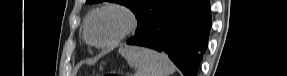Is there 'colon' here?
<instances>
[{"label":"colon","mask_w":287,"mask_h":76,"mask_svg":"<svg viewBox=\"0 0 287 76\" xmlns=\"http://www.w3.org/2000/svg\"><path fill=\"white\" fill-rule=\"evenodd\" d=\"M106 76H117V74L114 72H111V73L107 74Z\"/></svg>","instance_id":"colon-1"}]
</instances>
